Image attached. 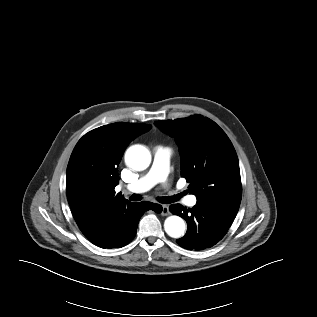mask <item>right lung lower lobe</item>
Instances as JSON below:
<instances>
[{
  "mask_svg": "<svg viewBox=\"0 0 317 317\" xmlns=\"http://www.w3.org/2000/svg\"><path fill=\"white\" fill-rule=\"evenodd\" d=\"M156 213L162 206L151 202H127L113 208H104L91 200L73 210L74 219L84 236L101 248H121L136 235L139 219L147 210Z\"/></svg>",
  "mask_w": 317,
  "mask_h": 317,
  "instance_id": "obj_1",
  "label": "right lung lower lobe"
}]
</instances>
